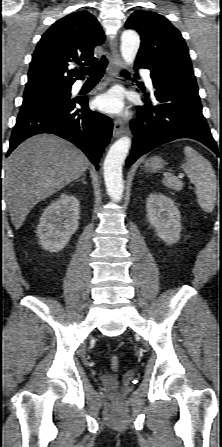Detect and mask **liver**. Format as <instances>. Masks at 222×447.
<instances>
[{"instance_id": "1", "label": "liver", "mask_w": 222, "mask_h": 447, "mask_svg": "<svg viewBox=\"0 0 222 447\" xmlns=\"http://www.w3.org/2000/svg\"><path fill=\"white\" fill-rule=\"evenodd\" d=\"M85 154L68 141L43 134L21 143L5 162V199L16 230L40 201L83 176Z\"/></svg>"}]
</instances>
